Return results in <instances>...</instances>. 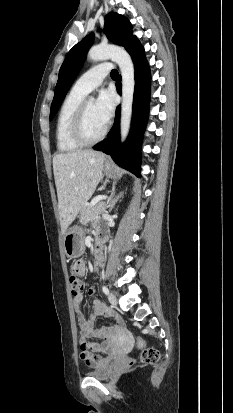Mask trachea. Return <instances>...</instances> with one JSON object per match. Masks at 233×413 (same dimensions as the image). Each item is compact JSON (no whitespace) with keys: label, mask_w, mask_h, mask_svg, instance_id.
<instances>
[{"label":"trachea","mask_w":233,"mask_h":413,"mask_svg":"<svg viewBox=\"0 0 233 413\" xmlns=\"http://www.w3.org/2000/svg\"><path fill=\"white\" fill-rule=\"evenodd\" d=\"M111 77H117L118 76V71L116 70V69H113L112 71H111Z\"/></svg>","instance_id":"3493384b"}]
</instances>
